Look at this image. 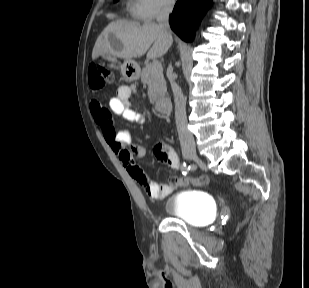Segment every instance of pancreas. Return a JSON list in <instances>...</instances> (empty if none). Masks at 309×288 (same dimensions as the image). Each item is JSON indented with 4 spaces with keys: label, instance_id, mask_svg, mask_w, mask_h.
Masks as SVG:
<instances>
[{
    "label": "pancreas",
    "instance_id": "pancreas-1",
    "mask_svg": "<svg viewBox=\"0 0 309 288\" xmlns=\"http://www.w3.org/2000/svg\"><path fill=\"white\" fill-rule=\"evenodd\" d=\"M152 63H146L141 72V82L148 85V97L152 104L158 102L166 94V82L163 69L153 70Z\"/></svg>",
    "mask_w": 309,
    "mask_h": 288
}]
</instances>
